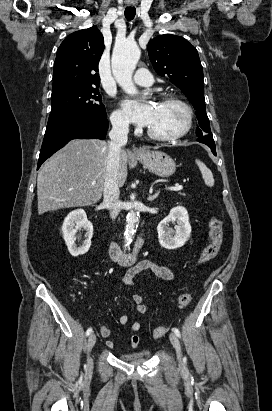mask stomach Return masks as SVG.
<instances>
[{
  "label": "stomach",
  "mask_w": 272,
  "mask_h": 411,
  "mask_svg": "<svg viewBox=\"0 0 272 411\" xmlns=\"http://www.w3.org/2000/svg\"><path fill=\"white\" fill-rule=\"evenodd\" d=\"M145 168L161 177H168L176 170L175 161L161 151H146L136 157Z\"/></svg>",
  "instance_id": "obj_1"
}]
</instances>
